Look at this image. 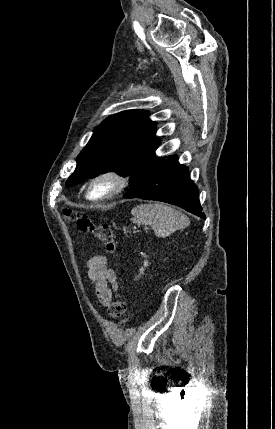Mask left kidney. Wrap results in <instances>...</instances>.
I'll return each mask as SVG.
<instances>
[{"label": "left kidney", "mask_w": 275, "mask_h": 429, "mask_svg": "<svg viewBox=\"0 0 275 429\" xmlns=\"http://www.w3.org/2000/svg\"><path fill=\"white\" fill-rule=\"evenodd\" d=\"M147 266H148V261H144V267H147ZM143 271H144V268L142 267L140 269V274H143Z\"/></svg>", "instance_id": "5707ae66"}]
</instances>
